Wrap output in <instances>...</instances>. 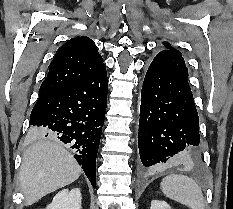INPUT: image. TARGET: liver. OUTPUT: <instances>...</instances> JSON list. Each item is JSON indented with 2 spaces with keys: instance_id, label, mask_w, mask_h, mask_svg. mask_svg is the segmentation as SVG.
<instances>
[{
  "instance_id": "obj_1",
  "label": "liver",
  "mask_w": 233,
  "mask_h": 209,
  "mask_svg": "<svg viewBox=\"0 0 233 209\" xmlns=\"http://www.w3.org/2000/svg\"><path fill=\"white\" fill-rule=\"evenodd\" d=\"M38 140L25 152L20 169V188L25 206L77 180L82 172L74 157L57 141L43 139L45 132L30 130Z\"/></svg>"
}]
</instances>
